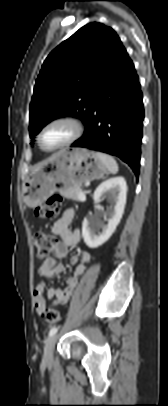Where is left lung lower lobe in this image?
Wrapping results in <instances>:
<instances>
[{"label":"left lung lower lobe","mask_w":168,"mask_h":406,"mask_svg":"<svg viewBox=\"0 0 168 406\" xmlns=\"http://www.w3.org/2000/svg\"><path fill=\"white\" fill-rule=\"evenodd\" d=\"M143 119L139 79L124 50L100 90L84 135L71 146L115 155L138 177Z\"/></svg>","instance_id":"obj_1"}]
</instances>
